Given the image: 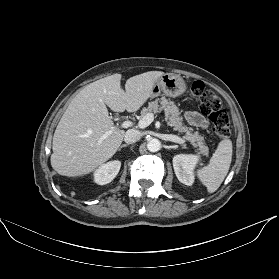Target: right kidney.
<instances>
[{
    "label": "right kidney",
    "mask_w": 279,
    "mask_h": 279,
    "mask_svg": "<svg viewBox=\"0 0 279 279\" xmlns=\"http://www.w3.org/2000/svg\"><path fill=\"white\" fill-rule=\"evenodd\" d=\"M120 167L121 162L119 160L110 161L101 165L93 174L94 182L99 185L110 183L118 174Z\"/></svg>",
    "instance_id": "1"
}]
</instances>
